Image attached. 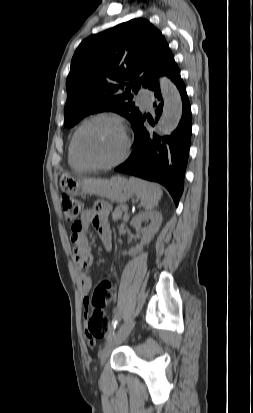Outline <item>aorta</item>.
Listing matches in <instances>:
<instances>
[{
  "label": "aorta",
  "instance_id": "obj_1",
  "mask_svg": "<svg viewBox=\"0 0 253 413\" xmlns=\"http://www.w3.org/2000/svg\"><path fill=\"white\" fill-rule=\"evenodd\" d=\"M160 89L164 99L159 129L162 133H171L178 125L182 116V100L174 83L168 78L160 79Z\"/></svg>",
  "mask_w": 253,
  "mask_h": 413
}]
</instances>
